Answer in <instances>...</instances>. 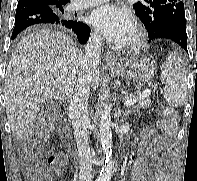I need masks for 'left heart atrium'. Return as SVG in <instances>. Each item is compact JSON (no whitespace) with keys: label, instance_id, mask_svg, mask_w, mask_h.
<instances>
[{"label":"left heart atrium","instance_id":"1","mask_svg":"<svg viewBox=\"0 0 197 181\" xmlns=\"http://www.w3.org/2000/svg\"><path fill=\"white\" fill-rule=\"evenodd\" d=\"M90 21L101 34L116 42H123L134 27L130 12L114 4L95 9Z\"/></svg>","mask_w":197,"mask_h":181}]
</instances>
